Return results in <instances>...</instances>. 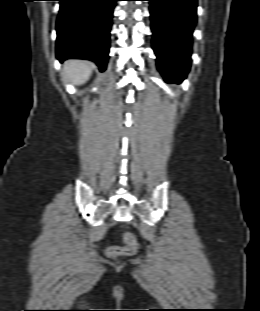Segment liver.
Masks as SVG:
<instances>
[{
  "instance_id": "liver-1",
  "label": "liver",
  "mask_w": 260,
  "mask_h": 311,
  "mask_svg": "<svg viewBox=\"0 0 260 311\" xmlns=\"http://www.w3.org/2000/svg\"><path fill=\"white\" fill-rule=\"evenodd\" d=\"M92 64L85 60H69L64 65L63 79L75 85L85 83L91 76Z\"/></svg>"
}]
</instances>
